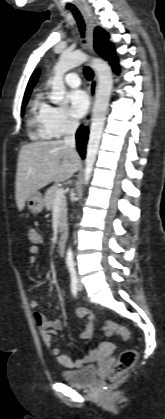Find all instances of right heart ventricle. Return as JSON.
<instances>
[{
	"label": "right heart ventricle",
	"instance_id": "e07e8e85",
	"mask_svg": "<svg viewBox=\"0 0 165 419\" xmlns=\"http://www.w3.org/2000/svg\"><path fill=\"white\" fill-rule=\"evenodd\" d=\"M48 107L41 93H38L32 100L28 126L33 138L50 139L53 137L47 122Z\"/></svg>",
	"mask_w": 165,
	"mask_h": 419
}]
</instances>
